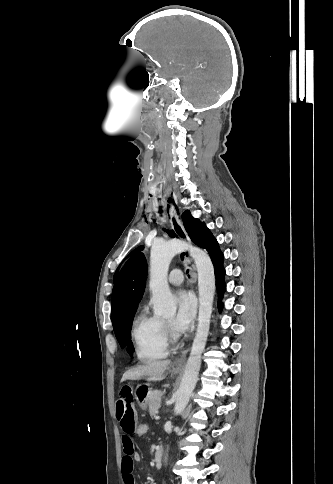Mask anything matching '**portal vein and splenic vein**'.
Instances as JSON below:
<instances>
[{"label":"portal vein and splenic vein","mask_w":333,"mask_h":484,"mask_svg":"<svg viewBox=\"0 0 333 484\" xmlns=\"http://www.w3.org/2000/svg\"><path fill=\"white\" fill-rule=\"evenodd\" d=\"M154 418L157 420V419H159L160 417H159V416H155Z\"/></svg>","instance_id":"obj_1"}]
</instances>
